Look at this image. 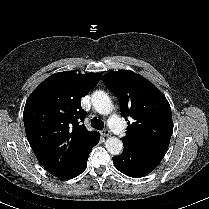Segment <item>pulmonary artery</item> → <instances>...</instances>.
Wrapping results in <instances>:
<instances>
[{
  "label": "pulmonary artery",
  "mask_w": 209,
  "mask_h": 209,
  "mask_svg": "<svg viewBox=\"0 0 209 209\" xmlns=\"http://www.w3.org/2000/svg\"><path fill=\"white\" fill-rule=\"evenodd\" d=\"M109 126L118 135L124 133V126L117 114H113L109 119Z\"/></svg>",
  "instance_id": "obj_1"
}]
</instances>
